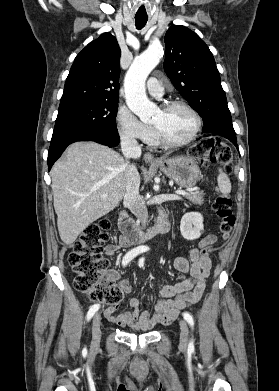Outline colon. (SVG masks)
<instances>
[{
	"instance_id": "colon-1",
	"label": "colon",
	"mask_w": 279,
	"mask_h": 391,
	"mask_svg": "<svg viewBox=\"0 0 279 391\" xmlns=\"http://www.w3.org/2000/svg\"><path fill=\"white\" fill-rule=\"evenodd\" d=\"M195 160L205 166L218 163L229 172L232 169V153L219 139L207 138L190 150ZM213 210L220 219L219 231L223 238L229 237L236 221L232 210V200L220 194L213 202ZM111 223L102 219L89 225L79 235L69 254V263L75 273V288L86 294L93 302L117 306L123 299V291L118 288L108 274V262L102 256V249L110 239ZM212 245L202 252L209 256ZM177 296L175 300H180Z\"/></svg>"
}]
</instances>
